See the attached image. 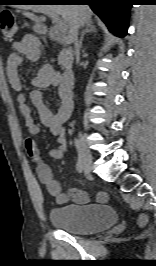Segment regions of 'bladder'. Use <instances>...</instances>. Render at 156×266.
<instances>
[{"instance_id":"31cf9c89","label":"bladder","mask_w":156,"mask_h":266,"mask_svg":"<svg viewBox=\"0 0 156 266\" xmlns=\"http://www.w3.org/2000/svg\"><path fill=\"white\" fill-rule=\"evenodd\" d=\"M51 223L72 234H92L116 224L118 217L108 205L69 204L53 208L49 213Z\"/></svg>"}]
</instances>
